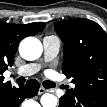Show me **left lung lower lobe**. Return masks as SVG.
Instances as JSON below:
<instances>
[{"instance_id": "obj_1", "label": "left lung lower lobe", "mask_w": 107, "mask_h": 107, "mask_svg": "<svg viewBox=\"0 0 107 107\" xmlns=\"http://www.w3.org/2000/svg\"><path fill=\"white\" fill-rule=\"evenodd\" d=\"M107 94L103 93L97 98L84 97L79 93L77 86L69 89L66 94L60 98L59 107H106Z\"/></svg>"}]
</instances>
